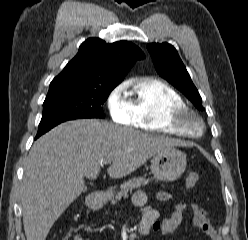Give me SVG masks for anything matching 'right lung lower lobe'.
Listing matches in <instances>:
<instances>
[{
    "mask_svg": "<svg viewBox=\"0 0 248 240\" xmlns=\"http://www.w3.org/2000/svg\"><path fill=\"white\" fill-rule=\"evenodd\" d=\"M53 127H54V126L39 127L35 139H37L38 137H40L41 135H43L44 133H46L47 131H49V130L52 129Z\"/></svg>",
    "mask_w": 248,
    "mask_h": 240,
    "instance_id": "right-lung-lower-lobe-1",
    "label": "right lung lower lobe"
}]
</instances>
